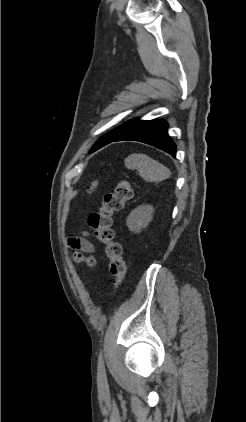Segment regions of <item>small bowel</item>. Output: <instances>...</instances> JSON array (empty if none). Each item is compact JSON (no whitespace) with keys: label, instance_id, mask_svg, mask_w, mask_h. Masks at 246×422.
I'll list each match as a JSON object with an SVG mask.
<instances>
[{"label":"small bowel","instance_id":"1","mask_svg":"<svg viewBox=\"0 0 246 422\" xmlns=\"http://www.w3.org/2000/svg\"><path fill=\"white\" fill-rule=\"evenodd\" d=\"M72 248L82 252H92L94 250L93 244L88 238H72L69 241Z\"/></svg>","mask_w":246,"mask_h":422}]
</instances>
